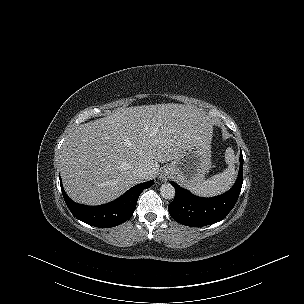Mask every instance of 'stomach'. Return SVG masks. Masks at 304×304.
<instances>
[{"label":"stomach","instance_id":"1","mask_svg":"<svg viewBox=\"0 0 304 304\" xmlns=\"http://www.w3.org/2000/svg\"><path fill=\"white\" fill-rule=\"evenodd\" d=\"M211 168V150L200 144L185 149L164 169V174L176 179L186 188H193L205 179Z\"/></svg>","mask_w":304,"mask_h":304}]
</instances>
